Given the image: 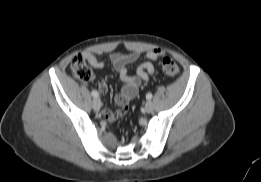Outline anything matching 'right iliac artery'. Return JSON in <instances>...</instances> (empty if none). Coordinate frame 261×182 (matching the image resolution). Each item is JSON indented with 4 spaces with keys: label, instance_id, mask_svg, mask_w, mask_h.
<instances>
[{
    "label": "right iliac artery",
    "instance_id": "obj_1",
    "mask_svg": "<svg viewBox=\"0 0 261 182\" xmlns=\"http://www.w3.org/2000/svg\"><path fill=\"white\" fill-rule=\"evenodd\" d=\"M91 94L95 98H97L99 96V93L96 90H92Z\"/></svg>",
    "mask_w": 261,
    "mask_h": 182
}]
</instances>
